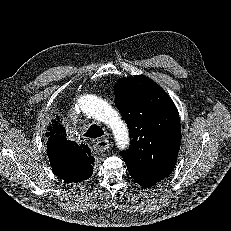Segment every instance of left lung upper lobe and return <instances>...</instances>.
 I'll return each instance as SVG.
<instances>
[{"label": "left lung upper lobe", "mask_w": 231, "mask_h": 231, "mask_svg": "<svg viewBox=\"0 0 231 231\" xmlns=\"http://www.w3.org/2000/svg\"><path fill=\"white\" fill-rule=\"evenodd\" d=\"M115 105L131 137L122 153L128 169L172 172L181 142L178 111L164 90L145 76L122 78L115 85Z\"/></svg>", "instance_id": "left-lung-upper-lobe-1"}]
</instances>
